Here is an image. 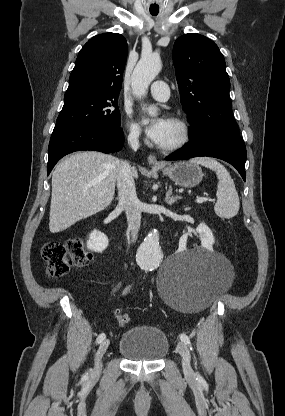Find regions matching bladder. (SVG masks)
Returning a JSON list of instances; mask_svg holds the SVG:
<instances>
[{
    "instance_id": "obj_1",
    "label": "bladder",
    "mask_w": 285,
    "mask_h": 416,
    "mask_svg": "<svg viewBox=\"0 0 285 416\" xmlns=\"http://www.w3.org/2000/svg\"><path fill=\"white\" fill-rule=\"evenodd\" d=\"M168 338L155 326L138 325L125 330L118 342L121 356L134 362H156L168 353Z\"/></svg>"
}]
</instances>
